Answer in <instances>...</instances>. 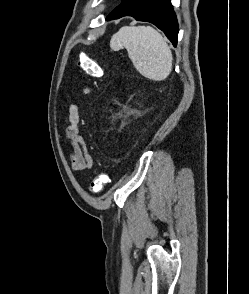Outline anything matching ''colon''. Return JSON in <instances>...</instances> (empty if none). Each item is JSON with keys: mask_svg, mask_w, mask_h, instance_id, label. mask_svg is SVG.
<instances>
[{"mask_svg": "<svg viewBox=\"0 0 249 294\" xmlns=\"http://www.w3.org/2000/svg\"><path fill=\"white\" fill-rule=\"evenodd\" d=\"M77 64L81 70H83L87 75L91 77L98 78L103 75L102 67L86 55H80ZM108 182V173H99L90 184V192L94 194L101 192Z\"/></svg>", "mask_w": 249, "mask_h": 294, "instance_id": "1", "label": "colon"}]
</instances>
